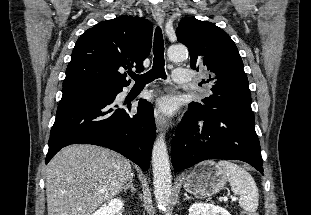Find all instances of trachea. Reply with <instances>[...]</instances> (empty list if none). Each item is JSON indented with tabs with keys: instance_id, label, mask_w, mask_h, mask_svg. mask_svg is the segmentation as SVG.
<instances>
[{
	"instance_id": "trachea-1",
	"label": "trachea",
	"mask_w": 311,
	"mask_h": 215,
	"mask_svg": "<svg viewBox=\"0 0 311 215\" xmlns=\"http://www.w3.org/2000/svg\"><path fill=\"white\" fill-rule=\"evenodd\" d=\"M153 67L148 72L138 75L135 73H129V76L135 80L136 85H146L155 79H166L165 73V59H164V40L162 31L159 27L155 29L154 35V47H153Z\"/></svg>"
}]
</instances>
